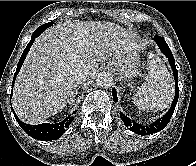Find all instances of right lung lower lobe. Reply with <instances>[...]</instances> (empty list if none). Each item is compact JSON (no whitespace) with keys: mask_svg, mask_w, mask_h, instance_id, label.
Segmentation results:
<instances>
[{"mask_svg":"<svg viewBox=\"0 0 196 166\" xmlns=\"http://www.w3.org/2000/svg\"><path fill=\"white\" fill-rule=\"evenodd\" d=\"M40 34L41 33H39V32H37V33L34 32L31 37L30 42L28 43L25 50L23 51V54H22V56L18 62V65H17L16 72L14 74L12 87L14 85L16 76H17L18 72L20 71V68L26 58V55H27L30 47L32 46L35 38H37ZM12 93H13V91H12ZM11 96H12V94H11ZM75 113H76V111L74 112V114ZM14 116H15L16 121L20 125V127L28 135H30L34 139L43 140V141L55 140V139L60 138L63 135V133L65 132L66 128L69 127V125L71 124V122L74 119V117L69 115L63 121H61L59 123H55V124L43 123V124H39V125H29V124H25L22 121H20V119L17 117V115L15 113H14Z\"/></svg>","mask_w":196,"mask_h":166,"instance_id":"98d812e1","label":"right lung lower lobe"}]
</instances>
